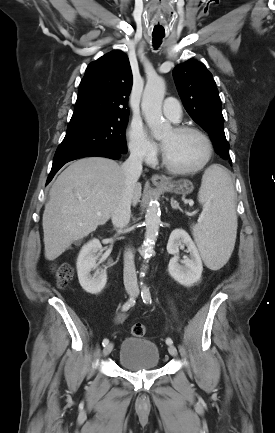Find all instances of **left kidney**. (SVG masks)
I'll list each match as a JSON object with an SVG mask.
<instances>
[{"label": "left kidney", "instance_id": "obj_1", "mask_svg": "<svg viewBox=\"0 0 275 433\" xmlns=\"http://www.w3.org/2000/svg\"><path fill=\"white\" fill-rule=\"evenodd\" d=\"M185 244L190 252V258H186L179 264V246ZM167 252L174 255L169 261L168 271L171 277L184 286H191L200 278L203 271L202 260L198 249L189 234L183 229H175L171 232Z\"/></svg>", "mask_w": 275, "mask_h": 433}]
</instances>
